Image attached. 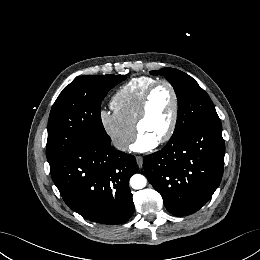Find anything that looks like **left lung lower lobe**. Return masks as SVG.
<instances>
[{
    "instance_id": "0a47b994",
    "label": "left lung lower lobe",
    "mask_w": 260,
    "mask_h": 260,
    "mask_svg": "<svg viewBox=\"0 0 260 260\" xmlns=\"http://www.w3.org/2000/svg\"><path fill=\"white\" fill-rule=\"evenodd\" d=\"M224 153L220 120L205 122L147 155L144 171L167 210L185 216L199 210L219 186Z\"/></svg>"
}]
</instances>
